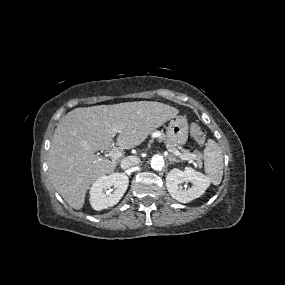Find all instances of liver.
Here are the masks:
<instances>
[{
  "label": "liver",
  "instance_id": "6515ba94",
  "mask_svg": "<svg viewBox=\"0 0 285 285\" xmlns=\"http://www.w3.org/2000/svg\"><path fill=\"white\" fill-rule=\"evenodd\" d=\"M179 111L153 101L125 102L76 108L61 119L49 150V177L53 187L74 209H82L90 185L112 172L117 161L99 156L113 146L110 129L120 130L117 144L131 149L176 116Z\"/></svg>",
  "mask_w": 285,
  "mask_h": 285
}]
</instances>
